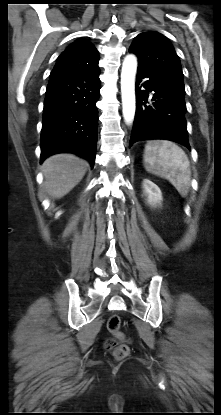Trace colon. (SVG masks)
Returning a JSON list of instances; mask_svg holds the SVG:
<instances>
[{"instance_id": "obj_1", "label": "colon", "mask_w": 221, "mask_h": 415, "mask_svg": "<svg viewBox=\"0 0 221 415\" xmlns=\"http://www.w3.org/2000/svg\"><path fill=\"white\" fill-rule=\"evenodd\" d=\"M121 319L118 315H111L106 322L107 330L115 337L106 341L105 347L117 359H123L129 354V347L126 344L118 343L116 340H122L123 335L120 332Z\"/></svg>"}]
</instances>
